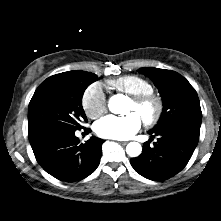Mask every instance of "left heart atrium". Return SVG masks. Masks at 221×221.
Segmentation results:
<instances>
[{"instance_id": "1", "label": "left heart atrium", "mask_w": 221, "mask_h": 221, "mask_svg": "<svg viewBox=\"0 0 221 221\" xmlns=\"http://www.w3.org/2000/svg\"><path fill=\"white\" fill-rule=\"evenodd\" d=\"M141 127V118L136 112L125 116L107 115L95 123L96 133L103 138L124 140L132 137Z\"/></svg>"}]
</instances>
